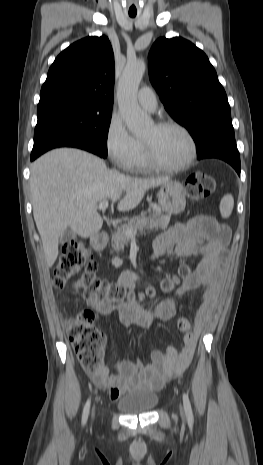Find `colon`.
Listing matches in <instances>:
<instances>
[{
  "instance_id": "colon-1",
  "label": "colon",
  "mask_w": 263,
  "mask_h": 465,
  "mask_svg": "<svg viewBox=\"0 0 263 465\" xmlns=\"http://www.w3.org/2000/svg\"><path fill=\"white\" fill-rule=\"evenodd\" d=\"M215 179L206 173H195L186 180V194L191 201H200L208 197L215 189ZM199 222L207 227L216 228L217 224L206 217H199ZM83 272L77 281V287L83 290L86 298H96L108 302H123L135 300L132 291L105 282L95 275L97 264L84 243L71 240L63 245L61 256L54 269L53 284L62 289L67 282L79 271ZM191 274L188 266H182L174 277L166 278L162 288L166 291L173 289L181 280ZM154 294L153 289L146 292L147 296ZM177 328L182 333L191 331V322L187 318L177 320ZM67 333L81 366L88 372H98L104 368L103 355L106 343L105 335L95 324V315L91 310L80 311L76 318L67 323Z\"/></svg>"
}]
</instances>
